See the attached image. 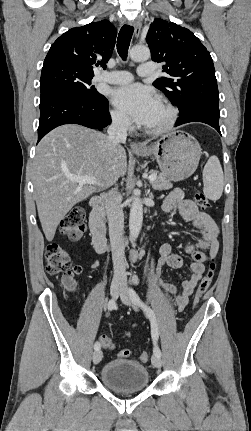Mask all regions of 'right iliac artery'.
Masks as SVG:
<instances>
[{
  "mask_svg": "<svg viewBox=\"0 0 251 431\" xmlns=\"http://www.w3.org/2000/svg\"><path fill=\"white\" fill-rule=\"evenodd\" d=\"M107 308H108V310H109V311H112L113 309H115V308H116V302H115V300H114V299H111V300L108 302ZM94 349H95V350H99V349H100V343H99V342H96V343L94 344Z\"/></svg>",
  "mask_w": 251,
  "mask_h": 431,
  "instance_id": "right-iliac-artery-1",
  "label": "right iliac artery"
}]
</instances>
